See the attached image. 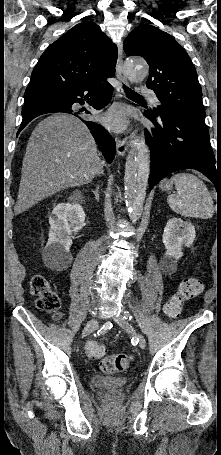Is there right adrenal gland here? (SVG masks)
<instances>
[{
	"instance_id": "right-adrenal-gland-1",
	"label": "right adrenal gland",
	"mask_w": 221,
	"mask_h": 455,
	"mask_svg": "<svg viewBox=\"0 0 221 455\" xmlns=\"http://www.w3.org/2000/svg\"><path fill=\"white\" fill-rule=\"evenodd\" d=\"M99 189H100V187H99V186H96V189H95V190H92V192H93L94 195H95V198H96L97 202H99Z\"/></svg>"
}]
</instances>
